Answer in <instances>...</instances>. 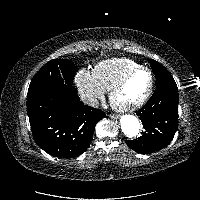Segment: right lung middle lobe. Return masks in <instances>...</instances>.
Listing matches in <instances>:
<instances>
[{
    "label": "right lung middle lobe",
    "mask_w": 200,
    "mask_h": 200,
    "mask_svg": "<svg viewBox=\"0 0 200 200\" xmlns=\"http://www.w3.org/2000/svg\"><path fill=\"white\" fill-rule=\"evenodd\" d=\"M76 66L68 60H50L32 78L28 92L47 88H66L72 85Z\"/></svg>",
    "instance_id": "right-lung-middle-lobe-1"
}]
</instances>
